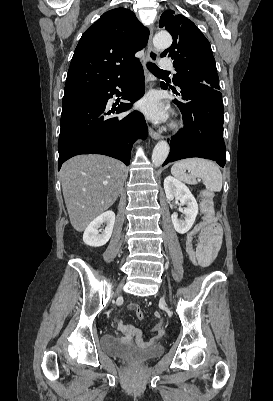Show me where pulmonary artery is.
Here are the masks:
<instances>
[{"label":"pulmonary artery","mask_w":273,"mask_h":401,"mask_svg":"<svg viewBox=\"0 0 273 401\" xmlns=\"http://www.w3.org/2000/svg\"><path fill=\"white\" fill-rule=\"evenodd\" d=\"M160 65H162V69L165 72H172L174 69L173 60L171 57H162L159 60Z\"/></svg>","instance_id":"e3ab8cb5"}]
</instances>
